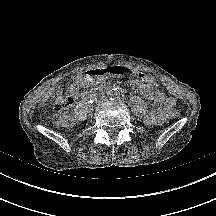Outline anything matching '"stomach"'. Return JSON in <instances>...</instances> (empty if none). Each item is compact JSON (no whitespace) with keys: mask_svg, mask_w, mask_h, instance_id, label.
<instances>
[{"mask_svg":"<svg viewBox=\"0 0 216 216\" xmlns=\"http://www.w3.org/2000/svg\"><path fill=\"white\" fill-rule=\"evenodd\" d=\"M101 72L105 73L109 78L124 80H129L133 76V71L128 65L121 66L112 62L107 63Z\"/></svg>","mask_w":216,"mask_h":216,"instance_id":"1","label":"stomach"}]
</instances>
